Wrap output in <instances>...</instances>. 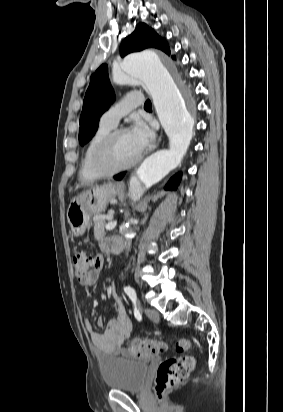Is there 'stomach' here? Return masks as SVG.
<instances>
[{
  "mask_svg": "<svg viewBox=\"0 0 283 412\" xmlns=\"http://www.w3.org/2000/svg\"><path fill=\"white\" fill-rule=\"evenodd\" d=\"M119 192L117 186L105 184L74 197L67 209V220L74 236H81L90 225L93 215L99 214L107 207L109 200Z\"/></svg>",
  "mask_w": 283,
  "mask_h": 412,
  "instance_id": "1",
  "label": "stomach"
}]
</instances>
